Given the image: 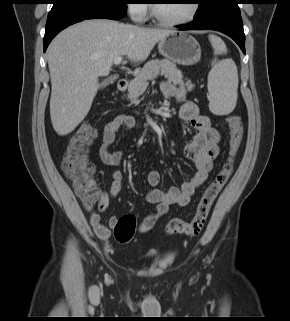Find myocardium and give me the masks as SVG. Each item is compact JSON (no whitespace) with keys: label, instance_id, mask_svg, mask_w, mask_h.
<instances>
[{"label":"myocardium","instance_id":"f54148a6","mask_svg":"<svg viewBox=\"0 0 290 321\" xmlns=\"http://www.w3.org/2000/svg\"><path fill=\"white\" fill-rule=\"evenodd\" d=\"M156 3H157L156 1H153L150 4L151 17L155 23H157L160 26H165V27H175V26H181V25L188 24L194 20V18L196 17V15L198 14V11H199V3L196 0H194V1H192V10L187 17H185L183 19H179V20H167V19L162 18L159 15V13L157 11Z\"/></svg>","mask_w":290,"mask_h":321}]
</instances>
